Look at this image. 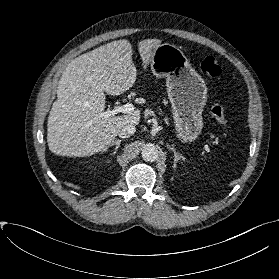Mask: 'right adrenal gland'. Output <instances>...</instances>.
Instances as JSON below:
<instances>
[{"mask_svg": "<svg viewBox=\"0 0 279 279\" xmlns=\"http://www.w3.org/2000/svg\"><path fill=\"white\" fill-rule=\"evenodd\" d=\"M122 142V140H116L113 141L112 143H110L108 146H106V148L104 149V152H106L110 147L115 145V150L113 152V155H115L120 147V143Z\"/></svg>", "mask_w": 279, "mask_h": 279, "instance_id": "1", "label": "right adrenal gland"}]
</instances>
